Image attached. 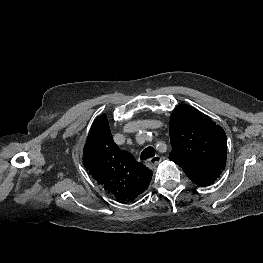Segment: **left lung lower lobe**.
<instances>
[{
	"mask_svg": "<svg viewBox=\"0 0 263 263\" xmlns=\"http://www.w3.org/2000/svg\"><path fill=\"white\" fill-rule=\"evenodd\" d=\"M186 175L195 184L200 185V186H208L212 184L219 177L214 174H199V173H190Z\"/></svg>",
	"mask_w": 263,
	"mask_h": 263,
	"instance_id": "obj_1",
	"label": "left lung lower lobe"
}]
</instances>
